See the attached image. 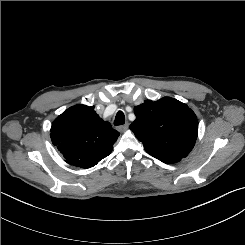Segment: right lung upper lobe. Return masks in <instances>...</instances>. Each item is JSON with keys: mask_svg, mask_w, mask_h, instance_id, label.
I'll return each instance as SVG.
<instances>
[{"mask_svg": "<svg viewBox=\"0 0 245 245\" xmlns=\"http://www.w3.org/2000/svg\"><path fill=\"white\" fill-rule=\"evenodd\" d=\"M52 143L65 161L80 168L96 165L113 149L119 133L102 120L94 107L75 105L59 115L52 124Z\"/></svg>", "mask_w": 245, "mask_h": 245, "instance_id": "right-lung-upper-lobe-1", "label": "right lung upper lobe"}]
</instances>
